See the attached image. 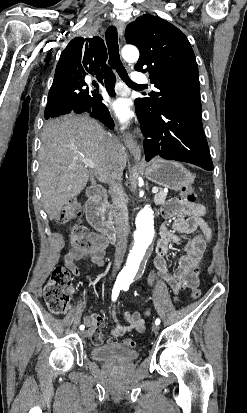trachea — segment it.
<instances>
[{
  "instance_id": "trachea-1",
  "label": "trachea",
  "mask_w": 247,
  "mask_h": 413,
  "mask_svg": "<svg viewBox=\"0 0 247 413\" xmlns=\"http://www.w3.org/2000/svg\"><path fill=\"white\" fill-rule=\"evenodd\" d=\"M106 42L109 51V65L117 71L123 82L134 90H144V85H138L130 80L127 71L125 70L119 56V45L117 41V29L110 26L106 31Z\"/></svg>"
}]
</instances>
